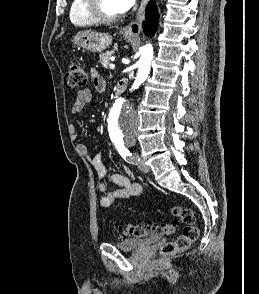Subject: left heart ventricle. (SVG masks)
I'll return each instance as SVG.
<instances>
[{"mask_svg": "<svg viewBox=\"0 0 259 294\" xmlns=\"http://www.w3.org/2000/svg\"><path fill=\"white\" fill-rule=\"evenodd\" d=\"M102 10L109 15H117L122 13V10L117 0H100Z\"/></svg>", "mask_w": 259, "mask_h": 294, "instance_id": "1", "label": "left heart ventricle"}]
</instances>
